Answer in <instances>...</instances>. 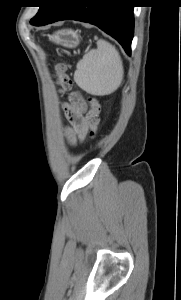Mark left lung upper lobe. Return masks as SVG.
I'll return each mask as SVG.
<instances>
[{
	"label": "left lung upper lobe",
	"mask_w": 181,
	"mask_h": 300,
	"mask_svg": "<svg viewBox=\"0 0 181 300\" xmlns=\"http://www.w3.org/2000/svg\"><path fill=\"white\" fill-rule=\"evenodd\" d=\"M38 2H43V5L40 7L38 13L30 20V23L35 26H37L49 13L55 3V0H43Z\"/></svg>",
	"instance_id": "obj_1"
}]
</instances>
